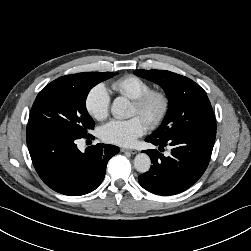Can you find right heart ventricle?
<instances>
[{
    "label": "right heart ventricle",
    "instance_id": "1",
    "mask_svg": "<svg viewBox=\"0 0 251 251\" xmlns=\"http://www.w3.org/2000/svg\"><path fill=\"white\" fill-rule=\"evenodd\" d=\"M112 89L132 100L151 90V85L145 79L136 75L123 76L111 84Z\"/></svg>",
    "mask_w": 251,
    "mask_h": 251
}]
</instances>
